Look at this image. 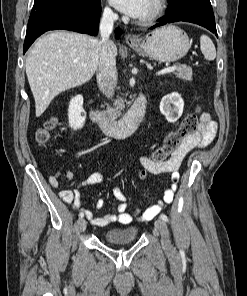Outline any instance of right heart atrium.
<instances>
[{"instance_id":"1","label":"right heart atrium","mask_w":247,"mask_h":296,"mask_svg":"<svg viewBox=\"0 0 247 296\" xmlns=\"http://www.w3.org/2000/svg\"><path fill=\"white\" fill-rule=\"evenodd\" d=\"M103 14L105 17L109 18V19H113L115 18L116 14L114 12V10L111 8L110 5H106L104 8H103Z\"/></svg>"}]
</instances>
